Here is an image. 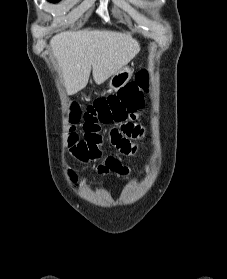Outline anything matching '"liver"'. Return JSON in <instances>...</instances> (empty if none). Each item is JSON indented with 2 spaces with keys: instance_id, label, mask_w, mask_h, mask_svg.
Returning a JSON list of instances; mask_svg holds the SVG:
<instances>
[{
  "instance_id": "obj_1",
  "label": "liver",
  "mask_w": 227,
  "mask_h": 279,
  "mask_svg": "<svg viewBox=\"0 0 227 279\" xmlns=\"http://www.w3.org/2000/svg\"><path fill=\"white\" fill-rule=\"evenodd\" d=\"M68 95L84 89L92 70L96 84H102L126 66L140 45L128 32L110 30L66 31L50 40Z\"/></svg>"
}]
</instances>
